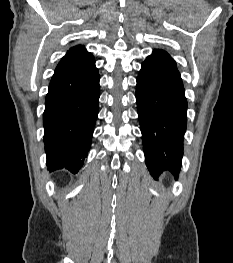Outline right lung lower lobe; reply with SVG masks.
Here are the masks:
<instances>
[{
	"instance_id": "obj_1",
	"label": "right lung lower lobe",
	"mask_w": 233,
	"mask_h": 263,
	"mask_svg": "<svg viewBox=\"0 0 233 263\" xmlns=\"http://www.w3.org/2000/svg\"><path fill=\"white\" fill-rule=\"evenodd\" d=\"M99 73L95 62L74 73H54L45 100L43 126L49 171L76 174L91 146L98 114Z\"/></svg>"
}]
</instances>
